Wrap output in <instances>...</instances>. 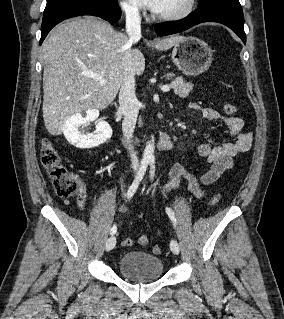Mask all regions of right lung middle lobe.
I'll return each instance as SVG.
<instances>
[{
  "mask_svg": "<svg viewBox=\"0 0 284 319\" xmlns=\"http://www.w3.org/2000/svg\"><path fill=\"white\" fill-rule=\"evenodd\" d=\"M70 4L113 5L117 4V0H47L44 13H48L56 8Z\"/></svg>",
  "mask_w": 284,
  "mask_h": 319,
  "instance_id": "dd1d6c3e",
  "label": "right lung middle lobe"
}]
</instances>
